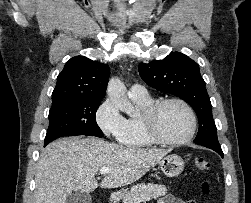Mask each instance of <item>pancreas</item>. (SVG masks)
Returning <instances> with one entry per match:
<instances>
[{"label":"pancreas","mask_w":251,"mask_h":203,"mask_svg":"<svg viewBox=\"0 0 251 203\" xmlns=\"http://www.w3.org/2000/svg\"><path fill=\"white\" fill-rule=\"evenodd\" d=\"M167 188L160 184H137L132 186L131 190L123 195L122 203H140L147 202L164 196Z\"/></svg>","instance_id":"cf45deb5"}]
</instances>
